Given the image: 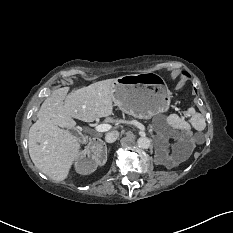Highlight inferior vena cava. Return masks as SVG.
<instances>
[{
    "instance_id": "obj_1",
    "label": "inferior vena cava",
    "mask_w": 233,
    "mask_h": 233,
    "mask_svg": "<svg viewBox=\"0 0 233 233\" xmlns=\"http://www.w3.org/2000/svg\"><path fill=\"white\" fill-rule=\"evenodd\" d=\"M118 137H119L118 131H111V132L106 134L105 140L108 143H112V142H115L118 139Z\"/></svg>"
}]
</instances>
